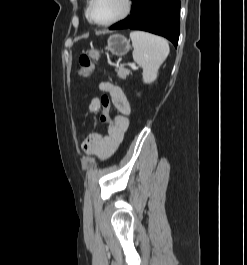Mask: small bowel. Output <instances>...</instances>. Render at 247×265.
Returning a JSON list of instances; mask_svg holds the SVG:
<instances>
[{
  "mask_svg": "<svg viewBox=\"0 0 247 265\" xmlns=\"http://www.w3.org/2000/svg\"><path fill=\"white\" fill-rule=\"evenodd\" d=\"M99 89L107 92L117 110V114L110 119L106 133L94 132L86 137L83 142V150L91 156L99 159L110 157L122 142L129 127L130 103L123 90L110 82H101ZM103 97H94L90 100L87 111L89 114L98 112L103 107Z\"/></svg>",
  "mask_w": 247,
  "mask_h": 265,
  "instance_id": "obj_1",
  "label": "small bowel"
}]
</instances>
